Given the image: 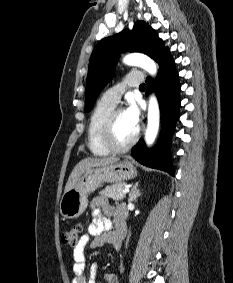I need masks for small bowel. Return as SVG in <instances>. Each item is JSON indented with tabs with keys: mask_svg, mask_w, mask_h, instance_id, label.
<instances>
[{
	"mask_svg": "<svg viewBox=\"0 0 233 283\" xmlns=\"http://www.w3.org/2000/svg\"><path fill=\"white\" fill-rule=\"evenodd\" d=\"M92 222L87 228V232L79 239L73 247V272L72 283H96L97 265L90 267L89 278L85 277L86 269V248L96 249L105 244L112 243V234L117 223L125 217L122 208H117L109 203L102 196L92 200L91 205ZM125 221V219H123ZM106 283H119L116 274L110 272L104 275Z\"/></svg>",
	"mask_w": 233,
	"mask_h": 283,
	"instance_id": "1",
	"label": "small bowel"
}]
</instances>
